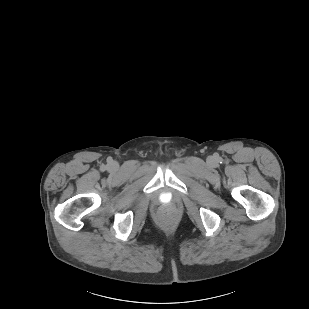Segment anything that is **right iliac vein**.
I'll use <instances>...</instances> for the list:
<instances>
[{"label":"right iliac vein","mask_w":309,"mask_h":309,"mask_svg":"<svg viewBox=\"0 0 309 309\" xmlns=\"http://www.w3.org/2000/svg\"><path fill=\"white\" fill-rule=\"evenodd\" d=\"M112 168H115V165H112Z\"/></svg>","instance_id":"1"}]
</instances>
